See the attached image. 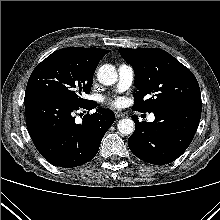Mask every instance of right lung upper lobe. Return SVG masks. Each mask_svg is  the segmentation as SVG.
<instances>
[{
  "label": "right lung upper lobe",
  "mask_w": 220,
  "mask_h": 220,
  "mask_svg": "<svg viewBox=\"0 0 220 220\" xmlns=\"http://www.w3.org/2000/svg\"><path fill=\"white\" fill-rule=\"evenodd\" d=\"M64 50L76 54L86 63L94 65L96 67L99 61L104 57V55L109 52V50H104L95 47H91V48L73 47V48H64Z\"/></svg>",
  "instance_id": "right-lung-upper-lobe-1"
}]
</instances>
